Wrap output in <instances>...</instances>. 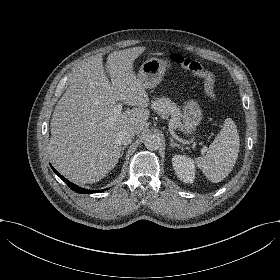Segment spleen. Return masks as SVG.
Masks as SVG:
<instances>
[{"label":"spleen","instance_id":"3e777b00","mask_svg":"<svg viewBox=\"0 0 280 280\" xmlns=\"http://www.w3.org/2000/svg\"><path fill=\"white\" fill-rule=\"evenodd\" d=\"M240 150V137L237 126L227 118L221 131L216 135L203 157L197 163L212 182H221L232 171Z\"/></svg>","mask_w":280,"mask_h":280}]
</instances>
